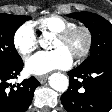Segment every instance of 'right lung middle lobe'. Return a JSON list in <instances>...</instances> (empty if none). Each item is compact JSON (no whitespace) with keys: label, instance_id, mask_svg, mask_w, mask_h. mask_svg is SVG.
Segmentation results:
<instances>
[{"label":"right lung middle lobe","instance_id":"obj_1","mask_svg":"<svg viewBox=\"0 0 112 112\" xmlns=\"http://www.w3.org/2000/svg\"><path fill=\"white\" fill-rule=\"evenodd\" d=\"M30 19L25 15L0 13V70L21 59L14 47L13 38L16 30Z\"/></svg>","mask_w":112,"mask_h":112}]
</instances>
